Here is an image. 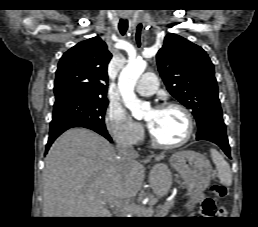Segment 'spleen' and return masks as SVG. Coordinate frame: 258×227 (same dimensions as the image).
I'll list each match as a JSON object with an SVG mask.
<instances>
[{
    "label": "spleen",
    "mask_w": 258,
    "mask_h": 227,
    "mask_svg": "<svg viewBox=\"0 0 258 227\" xmlns=\"http://www.w3.org/2000/svg\"><path fill=\"white\" fill-rule=\"evenodd\" d=\"M210 153L213 163L216 166L220 182L225 186H230L232 184L230 165L224 160L223 156L216 149L212 148Z\"/></svg>",
    "instance_id": "spleen-1"
}]
</instances>
